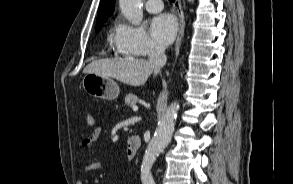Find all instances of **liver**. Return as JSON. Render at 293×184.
I'll list each match as a JSON object with an SVG mask.
<instances>
[{
  "instance_id": "obj_1",
  "label": "liver",
  "mask_w": 293,
  "mask_h": 184,
  "mask_svg": "<svg viewBox=\"0 0 293 184\" xmlns=\"http://www.w3.org/2000/svg\"><path fill=\"white\" fill-rule=\"evenodd\" d=\"M84 73L112 77L132 86L144 85L152 73L157 75L149 61L134 57L94 60L85 67Z\"/></svg>"
}]
</instances>
